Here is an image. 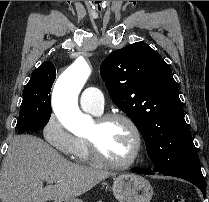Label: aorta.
Instances as JSON below:
<instances>
[{
  "instance_id": "1",
  "label": "aorta",
  "mask_w": 209,
  "mask_h": 202,
  "mask_svg": "<svg viewBox=\"0 0 209 202\" xmlns=\"http://www.w3.org/2000/svg\"><path fill=\"white\" fill-rule=\"evenodd\" d=\"M91 74L83 57H78L58 78L53 89L54 112L61 124L70 132H85L92 123L89 115L78 108V95Z\"/></svg>"
}]
</instances>
